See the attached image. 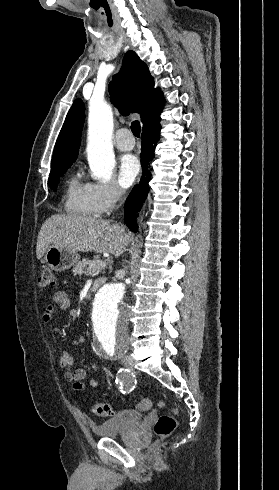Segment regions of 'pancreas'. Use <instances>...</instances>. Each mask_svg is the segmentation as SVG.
Instances as JSON below:
<instances>
[{"mask_svg": "<svg viewBox=\"0 0 279 490\" xmlns=\"http://www.w3.org/2000/svg\"><path fill=\"white\" fill-rule=\"evenodd\" d=\"M92 260H82V262H77L75 264L72 272L73 274H86V276H91V274H96V272H101L105 270L106 262L104 264H96V266H91ZM88 266V268H87Z\"/></svg>", "mask_w": 279, "mask_h": 490, "instance_id": "1", "label": "pancreas"}]
</instances>
